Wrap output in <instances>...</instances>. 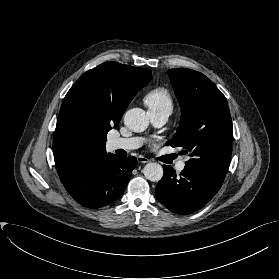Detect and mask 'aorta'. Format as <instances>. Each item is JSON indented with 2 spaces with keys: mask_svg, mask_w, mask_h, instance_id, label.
<instances>
[{
  "mask_svg": "<svg viewBox=\"0 0 279 279\" xmlns=\"http://www.w3.org/2000/svg\"><path fill=\"white\" fill-rule=\"evenodd\" d=\"M125 126L133 132H142L149 125L146 112L141 108H132L124 115ZM144 176L153 182H158L163 177V168L160 164L150 162L143 170Z\"/></svg>",
  "mask_w": 279,
  "mask_h": 279,
  "instance_id": "762f6f07",
  "label": "aorta"
}]
</instances>
